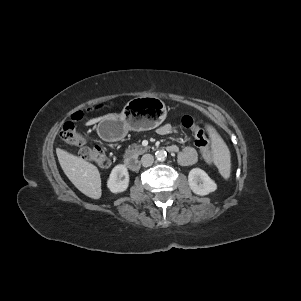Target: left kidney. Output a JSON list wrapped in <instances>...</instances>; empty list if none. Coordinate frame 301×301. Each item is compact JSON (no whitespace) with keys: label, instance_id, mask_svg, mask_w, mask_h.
Listing matches in <instances>:
<instances>
[{"label":"left kidney","instance_id":"1","mask_svg":"<svg viewBox=\"0 0 301 301\" xmlns=\"http://www.w3.org/2000/svg\"><path fill=\"white\" fill-rule=\"evenodd\" d=\"M188 183L190 189L197 195L205 196L217 189V184L208 176V174L200 169L193 168L188 175Z\"/></svg>","mask_w":301,"mask_h":301}]
</instances>
